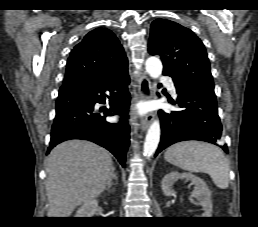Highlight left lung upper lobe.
<instances>
[{
	"mask_svg": "<svg viewBox=\"0 0 258 227\" xmlns=\"http://www.w3.org/2000/svg\"><path fill=\"white\" fill-rule=\"evenodd\" d=\"M149 53L161 56L163 74L174 81L214 89L207 52L190 29L166 19L153 21Z\"/></svg>",
	"mask_w": 258,
	"mask_h": 227,
	"instance_id": "5c2ea615",
	"label": "left lung upper lobe"
}]
</instances>
